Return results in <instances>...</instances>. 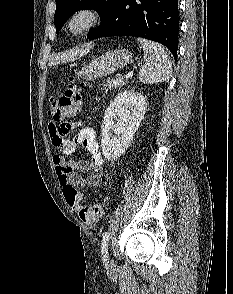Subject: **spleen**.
Returning a JSON list of instances; mask_svg holds the SVG:
<instances>
[{
  "instance_id": "obj_1",
  "label": "spleen",
  "mask_w": 233,
  "mask_h": 294,
  "mask_svg": "<svg viewBox=\"0 0 233 294\" xmlns=\"http://www.w3.org/2000/svg\"><path fill=\"white\" fill-rule=\"evenodd\" d=\"M144 50L145 64L139 71V80L143 84H155L169 81L172 63L165 49L153 41L138 38Z\"/></svg>"
}]
</instances>
